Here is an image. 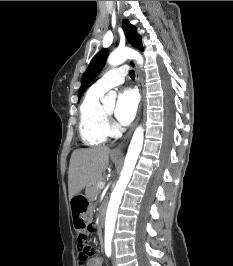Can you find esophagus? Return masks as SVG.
<instances>
[{
    "label": "esophagus",
    "mask_w": 233,
    "mask_h": 266,
    "mask_svg": "<svg viewBox=\"0 0 233 266\" xmlns=\"http://www.w3.org/2000/svg\"><path fill=\"white\" fill-rule=\"evenodd\" d=\"M128 63L135 71L136 83H137V86H138V88L140 90L141 97H142V90H141V84H140V75H139V71H138L137 65H136L135 61H133V60H129ZM142 105H143V100L141 99V102H140V105H139V109H138V114H137V117H136L134 123L132 124L130 130L124 136L123 140L119 143V145L112 150L113 153H115V154L121 153L125 149V147L127 146L128 142H129V139H130L135 127L137 126V124H138V122L140 120L141 111H142Z\"/></svg>",
    "instance_id": "esophagus-1"
}]
</instances>
